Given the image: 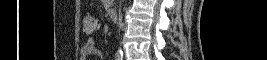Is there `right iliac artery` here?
Segmentation results:
<instances>
[{
    "instance_id": "right-iliac-artery-1",
    "label": "right iliac artery",
    "mask_w": 267,
    "mask_h": 60,
    "mask_svg": "<svg viewBox=\"0 0 267 60\" xmlns=\"http://www.w3.org/2000/svg\"><path fill=\"white\" fill-rule=\"evenodd\" d=\"M116 60H123V54H116V57H115Z\"/></svg>"
}]
</instances>
